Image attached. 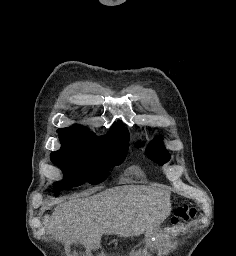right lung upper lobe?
I'll return each mask as SVG.
<instances>
[{
	"mask_svg": "<svg viewBox=\"0 0 236 256\" xmlns=\"http://www.w3.org/2000/svg\"><path fill=\"white\" fill-rule=\"evenodd\" d=\"M59 134H67V135H73L78 136L82 138L92 139V140H98V141H105V142H129V133L128 131L119 125H115L107 135L97 138L96 135L91 132L89 129L74 125L69 128H62L57 131Z\"/></svg>",
	"mask_w": 236,
	"mask_h": 256,
	"instance_id": "cb5924a9",
	"label": "right lung upper lobe"
}]
</instances>
